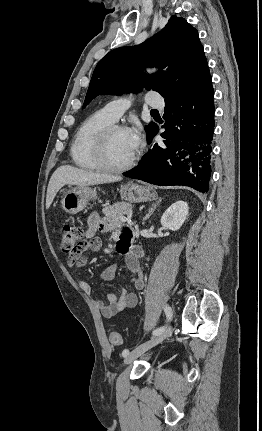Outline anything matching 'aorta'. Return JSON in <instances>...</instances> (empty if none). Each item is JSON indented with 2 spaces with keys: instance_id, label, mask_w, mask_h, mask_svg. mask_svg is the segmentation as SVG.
<instances>
[{
  "instance_id": "762f6f07",
  "label": "aorta",
  "mask_w": 262,
  "mask_h": 431,
  "mask_svg": "<svg viewBox=\"0 0 262 431\" xmlns=\"http://www.w3.org/2000/svg\"><path fill=\"white\" fill-rule=\"evenodd\" d=\"M148 71H150V72H155V71H156V69H148Z\"/></svg>"
}]
</instances>
